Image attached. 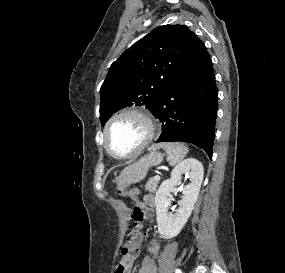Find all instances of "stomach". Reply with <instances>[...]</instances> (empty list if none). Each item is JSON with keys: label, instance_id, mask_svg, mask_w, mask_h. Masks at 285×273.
I'll return each instance as SVG.
<instances>
[{"label": "stomach", "instance_id": "obj_1", "mask_svg": "<svg viewBox=\"0 0 285 273\" xmlns=\"http://www.w3.org/2000/svg\"><path fill=\"white\" fill-rule=\"evenodd\" d=\"M162 160L163 155L160 152H150L138 161L127 166L117 177V185L124 189L131 184L142 181L146 177L149 168L159 165Z\"/></svg>", "mask_w": 285, "mask_h": 273}]
</instances>
